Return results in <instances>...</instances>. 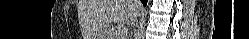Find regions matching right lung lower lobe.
Wrapping results in <instances>:
<instances>
[{
  "instance_id": "1",
  "label": "right lung lower lobe",
  "mask_w": 249,
  "mask_h": 39,
  "mask_svg": "<svg viewBox=\"0 0 249 39\" xmlns=\"http://www.w3.org/2000/svg\"><path fill=\"white\" fill-rule=\"evenodd\" d=\"M144 5H146L147 0H141Z\"/></svg>"
}]
</instances>
